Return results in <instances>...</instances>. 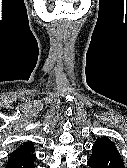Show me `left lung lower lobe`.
Segmentation results:
<instances>
[{
	"mask_svg": "<svg viewBox=\"0 0 127 168\" xmlns=\"http://www.w3.org/2000/svg\"><path fill=\"white\" fill-rule=\"evenodd\" d=\"M87 164L92 168H125L115 144L106 137L96 139Z\"/></svg>",
	"mask_w": 127,
	"mask_h": 168,
	"instance_id": "1",
	"label": "left lung lower lobe"
}]
</instances>
